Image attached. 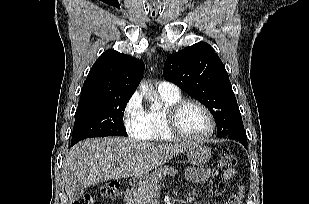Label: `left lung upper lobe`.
Returning <instances> with one entry per match:
<instances>
[{
	"label": "left lung upper lobe",
	"mask_w": 309,
	"mask_h": 204,
	"mask_svg": "<svg viewBox=\"0 0 309 204\" xmlns=\"http://www.w3.org/2000/svg\"><path fill=\"white\" fill-rule=\"evenodd\" d=\"M163 75L210 110L218 137L244 129L227 71L209 44L199 42L170 55Z\"/></svg>",
	"instance_id": "left-lung-upper-lobe-1"
}]
</instances>
